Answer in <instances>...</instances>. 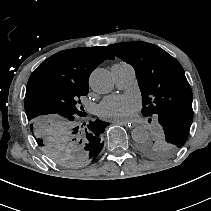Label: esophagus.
<instances>
[{
    "label": "esophagus",
    "instance_id": "1",
    "mask_svg": "<svg viewBox=\"0 0 211 211\" xmlns=\"http://www.w3.org/2000/svg\"><path fill=\"white\" fill-rule=\"evenodd\" d=\"M111 122L112 123H117L119 125H126V128L128 130H131L135 126L134 123L126 121V120H112Z\"/></svg>",
    "mask_w": 211,
    "mask_h": 211
}]
</instances>
